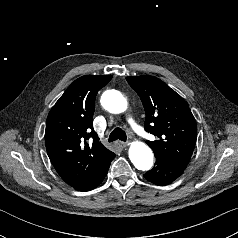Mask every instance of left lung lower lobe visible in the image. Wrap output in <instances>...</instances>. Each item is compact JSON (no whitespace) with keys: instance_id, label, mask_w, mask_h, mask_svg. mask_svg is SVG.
<instances>
[{"instance_id":"left-lung-lower-lobe-1","label":"left lung lower lobe","mask_w":238,"mask_h":238,"mask_svg":"<svg viewBox=\"0 0 238 238\" xmlns=\"http://www.w3.org/2000/svg\"><path fill=\"white\" fill-rule=\"evenodd\" d=\"M188 163L165 157H156L155 167L146 172L144 177L159 186L172 183L185 170Z\"/></svg>"}]
</instances>
